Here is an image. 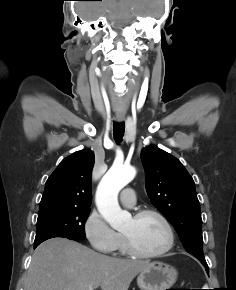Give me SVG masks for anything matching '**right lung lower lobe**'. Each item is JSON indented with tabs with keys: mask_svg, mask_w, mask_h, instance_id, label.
I'll return each mask as SVG.
<instances>
[{
	"mask_svg": "<svg viewBox=\"0 0 236 290\" xmlns=\"http://www.w3.org/2000/svg\"><path fill=\"white\" fill-rule=\"evenodd\" d=\"M39 244H34V249L38 246Z\"/></svg>",
	"mask_w": 236,
	"mask_h": 290,
	"instance_id": "obj_1",
	"label": "right lung lower lobe"
}]
</instances>
